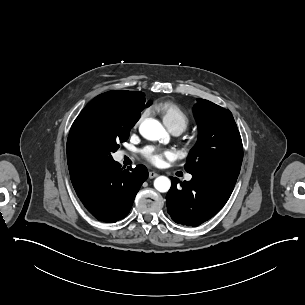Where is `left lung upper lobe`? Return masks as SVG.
Returning <instances> with one entry per match:
<instances>
[{"label": "left lung upper lobe", "instance_id": "obj_1", "mask_svg": "<svg viewBox=\"0 0 305 305\" xmlns=\"http://www.w3.org/2000/svg\"><path fill=\"white\" fill-rule=\"evenodd\" d=\"M197 101L193 113L199 136L185 170L192 175L237 180L243 146L232 113L208 100Z\"/></svg>", "mask_w": 305, "mask_h": 305}]
</instances>
